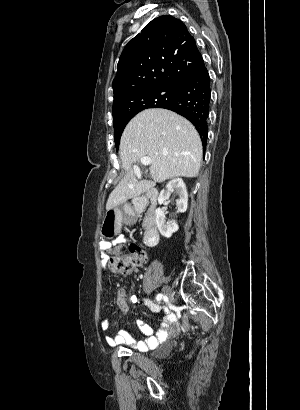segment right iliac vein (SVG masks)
<instances>
[{"label": "right iliac vein", "instance_id": "63e3f726", "mask_svg": "<svg viewBox=\"0 0 300 410\" xmlns=\"http://www.w3.org/2000/svg\"><path fill=\"white\" fill-rule=\"evenodd\" d=\"M163 294H164L165 296H167V297H170V296L172 295V290H171V288L168 287V286H165V287L163 288Z\"/></svg>", "mask_w": 300, "mask_h": 410}]
</instances>
